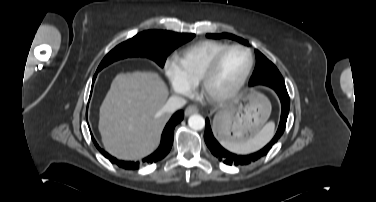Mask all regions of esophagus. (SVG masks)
I'll use <instances>...</instances> for the list:
<instances>
[{"label":"esophagus","mask_w":376,"mask_h":202,"mask_svg":"<svg viewBox=\"0 0 376 202\" xmlns=\"http://www.w3.org/2000/svg\"><path fill=\"white\" fill-rule=\"evenodd\" d=\"M197 112H198V108L194 105H190L185 110V116H189V115L197 113Z\"/></svg>","instance_id":"1"}]
</instances>
